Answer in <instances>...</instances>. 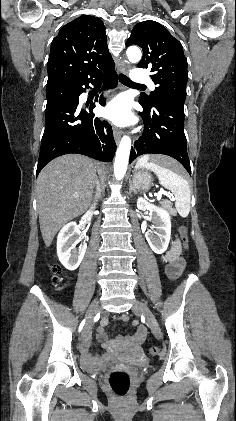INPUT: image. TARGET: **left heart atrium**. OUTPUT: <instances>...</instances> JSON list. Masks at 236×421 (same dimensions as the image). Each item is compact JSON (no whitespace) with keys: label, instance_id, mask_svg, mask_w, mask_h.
<instances>
[{"label":"left heart atrium","instance_id":"obj_1","mask_svg":"<svg viewBox=\"0 0 236 421\" xmlns=\"http://www.w3.org/2000/svg\"><path fill=\"white\" fill-rule=\"evenodd\" d=\"M104 118L118 126H125L132 122L128 103L122 98H115L102 110Z\"/></svg>","mask_w":236,"mask_h":421}]
</instances>
